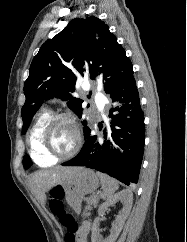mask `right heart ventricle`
<instances>
[{"instance_id": "e07e8e85", "label": "right heart ventricle", "mask_w": 187, "mask_h": 242, "mask_svg": "<svg viewBox=\"0 0 187 242\" xmlns=\"http://www.w3.org/2000/svg\"><path fill=\"white\" fill-rule=\"evenodd\" d=\"M49 118V112L43 111L38 116L29 136L30 155L34 162L41 167L51 166L57 162V160L47 157L40 146L41 132Z\"/></svg>"}]
</instances>
